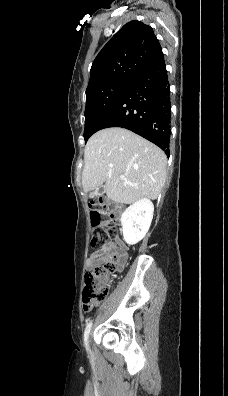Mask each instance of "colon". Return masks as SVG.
Masks as SVG:
<instances>
[{"label": "colon", "instance_id": "1", "mask_svg": "<svg viewBox=\"0 0 228 396\" xmlns=\"http://www.w3.org/2000/svg\"><path fill=\"white\" fill-rule=\"evenodd\" d=\"M94 203L98 204L99 208L92 209L90 212V220L93 226L91 245L95 247L104 246L113 234L111 225L118 221L119 212L115 206L102 198L97 199ZM121 259V253L110 252L104 265L96 267L85 275L82 298L85 311H90L104 299L108 293L112 277L119 268Z\"/></svg>", "mask_w": 228, "mask_h": 396}]
</instances>
